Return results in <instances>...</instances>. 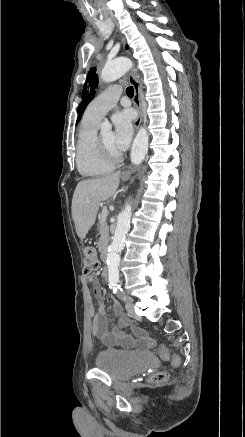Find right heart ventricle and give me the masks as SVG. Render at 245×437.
I'll return each mask as SVG.
<instances>
[{
    "instance_id": "obj_1",
    "label": "right heart ventricle",
    "mask_w": 245,
    "mask_h": 437,
    "mask_svg": "<svg viewBox=\"0 0 245 437\" xmlns=\"http://www.w3.org/2000/svg\"><path fill=\"white\" fill-rule=\"evenodd\" d=\"M98 123L84 115L77 133L76 166L85 177L104 176L114 169V163L103 159L97 151L95 139Z\"/></svg>"
}]
</instances>
